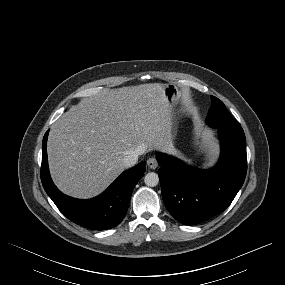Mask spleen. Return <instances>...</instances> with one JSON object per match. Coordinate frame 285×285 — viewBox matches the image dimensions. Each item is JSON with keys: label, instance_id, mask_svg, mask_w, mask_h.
Wrapping results in <instances>:
<instances>
[{"label": "spleen", "instance_id": "spleen-1", "mask_svg": "<svg viewBox=\"0 0 285 285\" xmlns=\"http://www.w3.org/2000/svg\"><path fill=\"white\" fill-rule=\"evenodd\" d=\"M208 167H210V164H204V165L202 166L203 169H207Z\"/></svg>", "mask_w": 285, "mask_h": 285}]
</instances>
